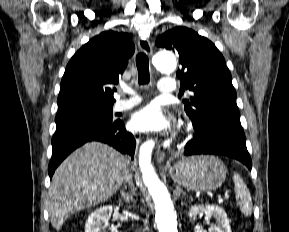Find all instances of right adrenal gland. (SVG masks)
Listing matches in <instances>:
<instances>
[{
    "label": "right adrenal gland",
    "instance_id": "right-adrenal-gland-1",
    "mask_svg": "<svg viewBox=\"0 0 289 232\" xmlns=\"http://www.w3.org/2000/svg\"><path fill=\"white\" fill-rule=\"evenodd\" d=\"M120 193H121V196L124 198L125 202L130 203V201H132V195L125 193L123 190H121Z\"/></svg>",
    "mask_w": 289,
    "mask_h": 232
}]
</instances>
